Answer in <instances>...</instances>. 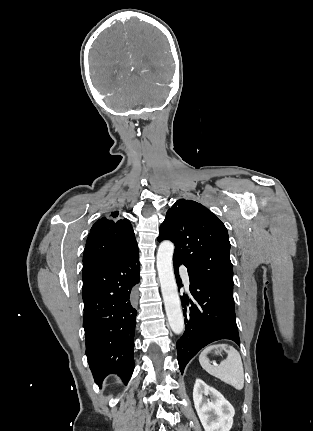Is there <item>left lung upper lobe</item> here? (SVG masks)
Segmentation results:
<instances>
[{
    "label": "left lung upper lobe",
    "mask_w": 313,
    "mask_h": 431,
    "mask_svg": "<svg viewBox=\"0 0 313 431\" xmlns=\"http://www.w3.org/2000/svg\"><path fill=\"white\" fill-rule=\"evenodd\" d=\"M175 245L173 260L185 265L197 281L233 291V268L226 227L205 206L180 199L167 211L158 241Z\"/></svg>",
    "instance_id": "left-lung-upper-lobe-1"
}]
</instances>
